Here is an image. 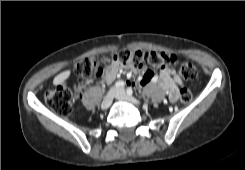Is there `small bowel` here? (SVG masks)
Listing matches in <instances>:
<instances>
[{"label": "small bowel", "instance_id": "obj_1", "mask_svg": "<svg viewBox=\"0 0 245 170\" xmlns=\"http://www.w3.org/2000/svg\"><path fill=\"white\" fill-rule=\"evenodd\" d=\"M119 73H121V69L119 67L109 68L105 72L104 79L110 83L118 76ZM152 81H154V76L146 72L140 79V85L145 86ZM159 83L161 88L167 92L170 103H176L180 96L181 87L183 86L176 70L172 67H165L160 72ZM126 85L133 86L134 82L127 80Z\"/></svg>", "mask_w": 245, "mask_h": 170}]
</instances>
